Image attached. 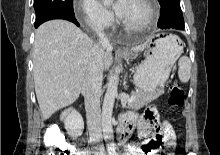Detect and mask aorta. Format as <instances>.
<instances>
[{"instance_id": "762f6f07", "label": "aorta", "mask_w": 220, "mask_h": 155, "mask_svg": "<svg viewBox=\"0 0 220 155\" xmlns=\"http://www.w3.org/2000/svg\"><path fill=\"white\" fill-rule=\"evenodd\" d=\"M111 0H104V3H109ZM118 75H112L107 83V90L105 93L102 106V130L105 134H112V112L115 98L118 94Z\"/></svg>"}]
</instances>
